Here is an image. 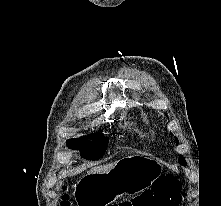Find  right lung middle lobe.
Listing matches in <instances>:
<instances>
[{"mask_svg": "<svg viewBox=\"0 0 221 206\" xmlns=\"http://www.w3.org/2000/svg\"><path fill=\"white\" fill-rule=\"evenodd\" d=\"M90 138L94 139L93 142H87L83 139H70L67 140V146L70 149L81 150V157L86 160H98L101 158L108 145V138L103 134L90 135Z\"/></svg>", "mask_w": 221, "mask_h": 206, "instance_id": "1", "label": "right lung middle lobe"}]
</instances>
